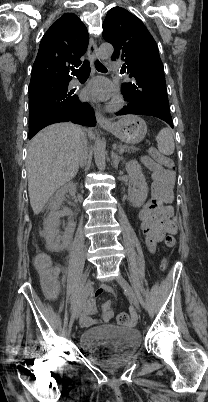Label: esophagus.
Instances as JSON below:
<instances>
[{"label":"esophagus","instance_id":"obj_1","mask_svg":"<svg viewBox=\"0 0 208 402\" xmlns=\"http://www.w3.org/2000/svg\"><path fill=\"white\" fill-rule=\"evenodd\" d=\"M87 55L91 62H94L99 58L98 46L93 38H90L89 40ZM96 119L101 126L111 125V122L98 109H96Z\"/></svg>","mask_w":208,"mask_h":402}]
</instances>
